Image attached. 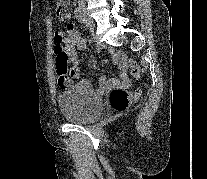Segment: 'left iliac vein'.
Returning a JSON list of instances; mask_svg holds the SVG:
<instances>
[{
	"label": "left iliac vein",
	"instance_id": "1",
	"mask_svg": "<svg viewBox=\"0 0 207 179\" xmlns=\"http://www.w3.org/2000/svg\"><path fill=\"white\" fill-rule=\"evenodd\" d=\"M84 15H85V18H86L85 24H86L87 28L93 29V21L87 16L86 11L84 12Z\"/></svg>",
	"mask_w": 207,
	"mask_h": 179
}]
</instances>
